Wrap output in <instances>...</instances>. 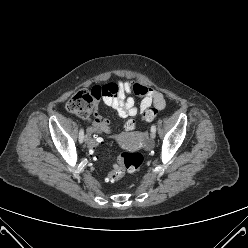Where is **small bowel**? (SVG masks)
<instances>
[{
	"mask_svg": "<svg viewBox=\"0 0 248 248\" xmlns=\"http://www.w3.org/2000/svg\"><path fill=\"white\" fill-rule=\"evenodd\" d=\"M109 84L116 85L118 90L115 94L108 92L103 95L102 102L116 110L117 114L122 118L134 117L151 106L162 110L166 105L165 99L159 91L138 81H121ZM131 94L142 98L138 106L130 96ZM90 128H95L98 133H110V121L102 120L101 116L96 113L91 121Z\"/></svg>",
	"mask_w": 248,
	"mask_h": 248,
	"instance_id": "obj_1",
	"label": "small bowel"
}]
</instances>
